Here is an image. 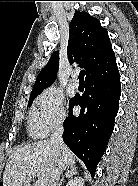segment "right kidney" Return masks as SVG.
<instances>
[{"label": "right kidney", "mask_w": 138, "mask_h": 186, "mask_svg": "<svg viewBox=\"0 0 138 186\" xmlns=\"http://www.w3.org/2000/svg\"><path fill=\"white\" fill-rule=\"evenodd\" d=\"M66 186H84V179L81 177H75L71 179Z\"/></svg>", "instance_id": "ca27d5eb"}]
</instances>
